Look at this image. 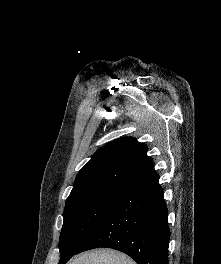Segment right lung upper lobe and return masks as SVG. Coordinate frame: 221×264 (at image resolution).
I'll list each match as a JSON object with an SVG mask.
<instances>
[{
	"mask_svg": "<svg viewBox=\"0 0 221 264\" xmlns=\"http://www.w3.org/2000/svg\"><path fill=\"white\" fill-rule=\"evenodd\" d=\"M147 148L133 137L101 147L79 171L70 195L99 186L127 187L155 173Z\"/></svg>",
	"mask_w": 221,
	"mask_h": 264,
	"instance_id": "1",
	"label": "right lung upper lobe"
}]
</instances>
